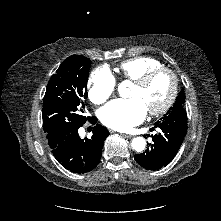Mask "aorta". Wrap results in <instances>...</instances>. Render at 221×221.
I'll return each mask as SVG.
<instances>
[{"label":"aorta","mask_w":221,"mask_h":221,"mask_svg":"<svg viewBox=\"0 0 221 221\" xmlns=\"http://www.w3.org/2000/svg\"><path fill=\"white\" fill-rule=\"evenodd\" d=\"M123 88L124 84H120L118 88L120 93ZM131 146L135 151L141 152L145 149L146 141L143 137H136L132 139Z\"/></svg>","instance_id":"1"}]
</instances>
